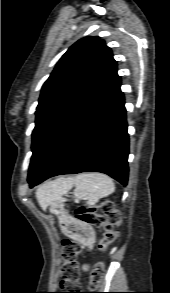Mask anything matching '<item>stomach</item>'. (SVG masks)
Returning a JSON list of instances; mask_svg holds the SVG:
<instances>
[{
	"instance_id": "0dacf381",
	"label": "stomach",
	"mask_w": 170,
	"mask_h": 293,
	"mask_svg": "<svg viewBox=\"0 0 170 293\" xmlns=\"http://www.w3.org/2000/svg\"><path fill=\"white\" fill-rule=\"evenodd\" d=\"M48 206H50L52 208V211L56 215H59L60 223L65 224L67 226V221H69V217L67 215L66 210L64 209V204H63L61 196L59 195V196L51 199ZM64 231L69 236H71V237L75 238L76 240H79L83 243H88L93 238V231L88 226H83V231L87 232L89 234V236H82L81 234H79L77 232L76 228H64Z\"/></svg>"
}]
</instances>
